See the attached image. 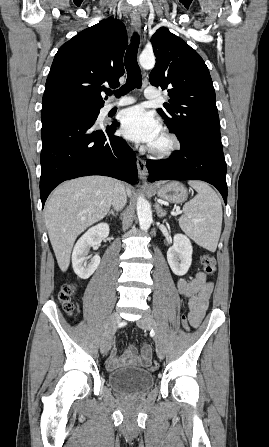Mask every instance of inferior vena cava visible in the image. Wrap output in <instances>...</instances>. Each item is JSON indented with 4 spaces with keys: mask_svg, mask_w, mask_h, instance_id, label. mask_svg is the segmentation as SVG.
<instances>
[{
    "mask_svg": "<svg viewBox=\"0 0 269 447\" xmlns=\"http://www.w3.org/2000/svg\"><path fill=\"white\" fill-rule=\"evenodd\" d=\"M127 202V196L125 192V188L121 182H116L113 194V202L112 206L115 210H121L124 208Z\"/></svg>",
    "mask_w": 269,
    "mask_h": 447,
    "instance_id": "602c4592",
    "label": "inferior vena cava"
}]
</instances>
